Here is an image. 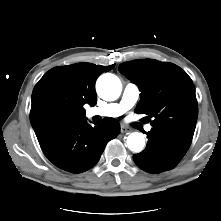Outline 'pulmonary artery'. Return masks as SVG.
<instances>
[{
  "label": "pulmonary artery",
  "mask_w": 221,
  "mask_h": 221,
  "mask_svg": "<svg viewBox=\"0 0 221 221\" xmlns=\"http://www.w3.org/2000/svg\"><path fill=\"white\" fill-rule=\"evenodd\" d=\"M140 96V88L135 83H127L121 100L115 103L105 104L100 107L91 108L88 111L89 116H101V117H118L122 115L125 111L131 109ZM146 131H150L152 126L148 124L145 127Z\"/></svg>",
  "instance_id": "obj_1"
}]
</instances>
